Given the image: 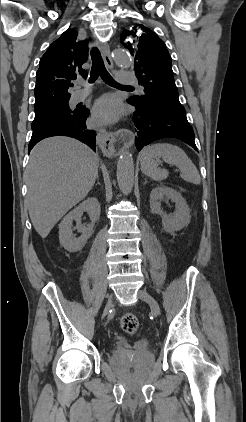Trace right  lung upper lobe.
<instances>
[{"label": "right lung upper lobe", "instance_id": "right-lung-upper-lobe-1", "mask_svg": "<svg viewBox=\"0 0 246 422\" xmlns=\"http://www.w3.org/2000/svg\"><path fill=\"white\" fill-rule=\"evenodd\" d=\"M77 35L73 29L66 30L40 59L34 109L69 100L71 81L78 76H87V71L81 66L88 59V41L77 42Z\"/></svg>", "mask_w": 246, "mask_h": 422}]
</instances>
